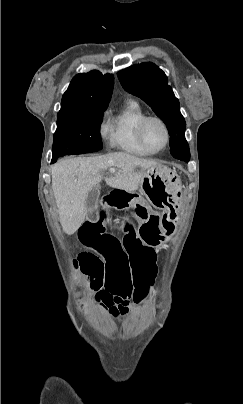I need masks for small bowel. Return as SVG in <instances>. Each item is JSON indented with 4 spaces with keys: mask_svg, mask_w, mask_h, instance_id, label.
<instances>
[{
    "mask_svg": "<svg viewBox=\"0 0 243 404\" xmlns=\"http://www.w3.org/2000/svg\"><path fill=\"white\" fill-rule=\"evenodd\" d=\"M79 237L88 250L79 254L77 262L90 277L95 301L113 318L129 314L130 298L146 296L154 280V248L141 242L129 222L124 223L120 240L97 217L83 224Z\"/></svg>",
    "mask_w": 243,
    "mask_h": 404,
    "instance_id": "1",
    "label": "small bowel"
}]
</instances>
